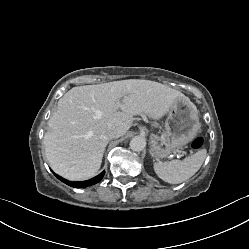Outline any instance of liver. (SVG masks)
I'll list each match as a JSON object with an SVG mask.
<instances>
[{
	"mask_svg": "<svg viewBox=\"0 0 249 249\" xmlns=\"http://www.w3.org/2000/svg\"><path fill=\"white\" fill-rule=\"evenodd\" d=\"M178 98L190 102L178 90L142 79L73 87L58 101L48 121L43 143L50 167L69 180L91 178L108 143L101 137L105 129L113 128L123 136L133 116L160 119Z\"/></svg>",
	"mask_w": 249,
	"mask_h": 249,
	"instance_id": "1",
	"label": "liver"
}]
</instances>
